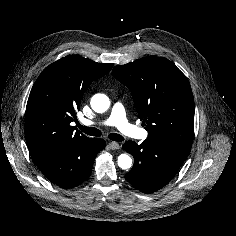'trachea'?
<instances>
[{
	"mask_svg": "<svg viewBox=\"0 0 236 236\" xmlns=\"http://www.w3.org/2000/svg\"><path fill=\"white\" fill-rule=\"evenodd\" d=\"M78 127L81 131H83L85 134L90 135V136L99 137L102 134L100 130H98L94 127H85V126H82L80 124H78ZM108 138L110 140L117 141V142H120V141L124 140L123 136H121L120 134H117V133H110L108 135Z\"/></svg>",
	"mask_w": 236,
	"mask_h": 236,
	"instance_id": "trachea-1",
	"label": "trachea"
}]
</instances>
